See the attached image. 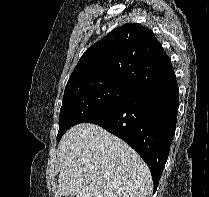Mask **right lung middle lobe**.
Returning a JSON list of instances; mask_svg holds the SVG:
<instances>
[{"mask_svg": "<svg viewBox=\"0 0 209 197\" xmlns=\"http://www.w3.org/2000/svg\"><path fill=\"white\" fill-rule=\"evenodd\" d=\"M137 88L124 82L104 79L66 85L60 109L57 141L72 126L111 107Z\"/></svg>", "mask_w": 209, "mask_h": 197, "instance_id": "right-lung-middle-lobe-1", "label": "right lung middle lobe"}]
</instances>
